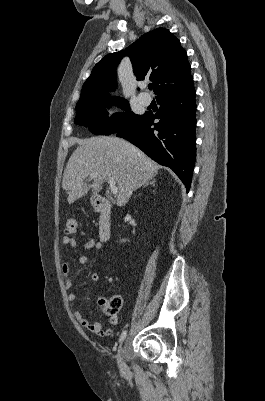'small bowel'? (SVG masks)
Instances as JSON below:
<instances>
[{
  "label": "small bowel",
  "mask_w": 265,
  "mask_h": 401,
  "mask_svg": "<svg viewBox=\"0 0 265 401\" xmlns=\"http://www.w3.org/2000/svg\"><path fill=\"white\" fill-rule=\"evenodd\" d=\"M62 243L66 246L71 247L76 251L77 249V241L75 238L70 237V236H65L62 239ZM102 247V243L99 240L93 239V238H88L83 245V248L85 250H99ZM78 262L82 265H89L90 260L84 256V255H78ZM62 273L65 278V287L66 289H70L72 287V281L69 277V274L71 272V264L68 261L63 262L62 264ZM91 280L93 282H98L100 280V276L98 273H92L90 276ZM77 299V296L74 292H70L68 294V300L70 303L75 304ZM102 299L99 300V303ZM74 318L77 320V322L85 329L90 331L91 333H94L100 337H107L112 334V331L110 329H104L102 324L99 322H93L90 323L78 309H74L73 312ZM118 318L116 316H112L110 318V322L112 324L117 323Z\"/></svg>",
  "instance_id": "c3829d8e"
}]
</instances>
